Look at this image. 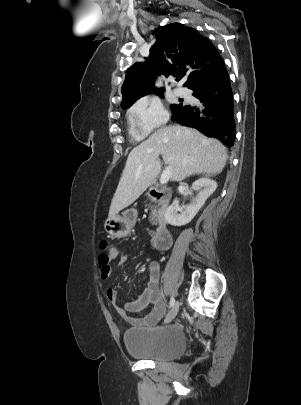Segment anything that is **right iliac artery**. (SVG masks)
Returning a JSON list of instances; mask_svg holds the SVG:
<instances>
[{
	"mask_svg": "<svg viewBox=\"0 0 301 405\" xmlns=\"http://www.w3.org/2000/svg\"><path fill=\"white\" fill-rule=\"evenodd\" d=\"M174 304H175V300H174L173 297H171V299H170V307H173Z\"/></svg>",
	"mask_w": 301,
	"mask_h": 405,
	"instance_id": "82829eb1",
	"label": "right iliac artery"
}]
</instances>
